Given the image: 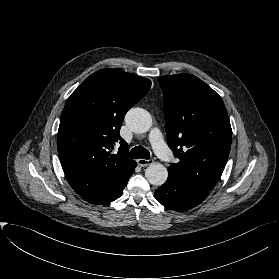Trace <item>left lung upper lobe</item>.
<instances>
[{
    "label": "left lung upper lobe",
    "instance_id": "1",
    "mask_svg": "<svg viewBox=\"0 0 279 279\" xmlns=\"http://www.w3.org/2000/svg\"><path fill=\"white\" fill-rule=\"evenodd\" d=\"M168 144L179 159L168 172L211 190L225 168L232 139L221 97L191 74L162 76Z\"/></svg>",
    "mask_w": 279,
    "mask_h": 279
}]
</instances>
